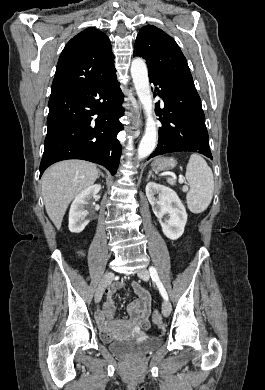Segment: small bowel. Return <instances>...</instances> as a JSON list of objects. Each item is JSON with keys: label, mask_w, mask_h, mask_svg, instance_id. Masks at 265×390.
<instances>
[{"label": "small bowel", "mask_w": 265, "mask_h": 390, "mask_svg": "<svg viewBox=\"0 0 265 390\" xmlns=\"http://www.w3.org/2000/svg\"><path fill=\"white\" fill-rule=\"evenodd\" d=\"M120 286L121 285H114L107 291L108 299L104 309L97 314L100 331L105 340L111 338L108 331V320L113 319L116 313L115 306L112 302V295ZM132 286L135 293L138 295V298L128 305L127 313L136 332L141 334L144 332V329H147L150 326L151 298L149 293L137 282H133Z\"/></svg>", "instance_id": "c3829d8e"}]
</instances>
